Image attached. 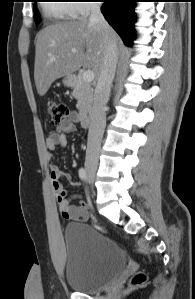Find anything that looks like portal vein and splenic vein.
Returning a JSON list of instances; mask_svg holds the SVG:
<instances>
[{
    "label": "portal vein and splenic vein",
    "mask_w": 195,
    "mask_h": 299,
    "mask_svg": "<svg viewBox=\"0 0 195 299\" xmlns=\"http://www.w3.org/2000/svg\"><path fill=\"white\" fill-rule=\"evenodd\" d=\"M76 49H72V53H75ZM82 78L84 81L90 83L94 80V72L92 70H86L82 74Z\"/></svg>",
    "instance_id": "1"
}]
</instances>
